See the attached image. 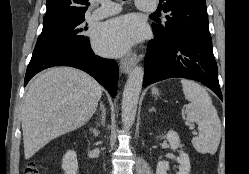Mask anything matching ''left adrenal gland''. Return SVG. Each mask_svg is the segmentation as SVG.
Returning a JSON list of instances; mask_svg holds the SVG:
<instances>
[{
	"mask_svg": "<svg viewBox=\"0 0 249 174\" xmlns=\"http://www.w3.org/2000/svg\"><path fill=\"white\" fill-rule=\"evenodd\" d=\"M150 112H156V109L154 108V107H151L150 109H149V113Z\"/></svg>",
	"mask_w": 249,
	"mask_h": 174,
	"instance_id": "a2214340",
	"label": "left adrenal gland"
}]
</instances>
